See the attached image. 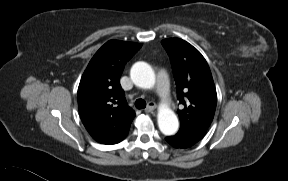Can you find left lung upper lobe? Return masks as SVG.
Listing matches in <instances>:
<instances>
[{"label": "left lung upper lobe", "instance_id": "1", "mask_svg": "<svg viewBox=\"0 0 288 181\" xmlns=\"http://www.w3.org/2000/svg\"><path fill=\"white\" fill-rule=\"evenodd\" d=\"M161 43L171 60L178 100L184 105L178 110L180 130L207 131L214 117L217 93L206 60L182 39L169 38Z\"/></svg>", "mask_w": 288, "mask_h": 181}]
</instances>
